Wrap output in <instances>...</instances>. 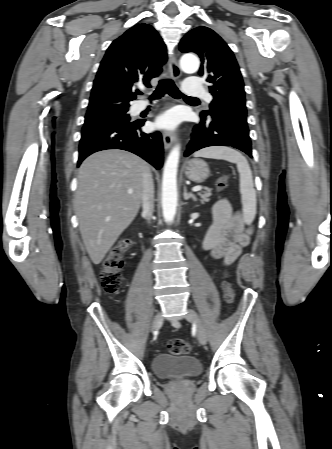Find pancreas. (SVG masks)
<instances>
[{
	"mask_svg": "<svg viewBox=\"0 0 332 449\" xmlns=\"http://www.w3.org/2000/svg\"><path fill=\"white\" fill-rule=\"evenodd\" d=\"M201 198V203L209 202V197L211 196V189H206L204 192L198 193Z\"/></svg>",
	"mask_w": 332,
	"mask_h": 449,
	"instance_id": "pancreas-1",
	"label": "pancreas"
}]
</instances>
